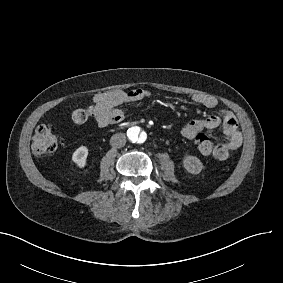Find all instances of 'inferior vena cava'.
Wrapping results in <instances>:
<instances>
[{"mask_svg":"<svg viewBox=\"0 0 283 283\" xmlns=\"http://www.w3.org/2000/svg\"><path fill=\"white\" fill-rule=\"evenodd\" d=\"M126 144V136L124 133H116L110 138V145L115 148L124 147Z\"/></svg>","mask_w":283,"mask_h":283,"instance_id":"inferior-vena-cava-1","label":"inferior vena cava"}]
</instances>
